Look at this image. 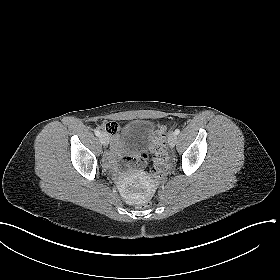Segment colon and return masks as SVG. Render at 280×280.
<instances>
[{
    "label": "colon",
    "instance_id": "1",
    "mask_svg": "<svg viewBox=\"0 0 280 280\" xmlns=\"http://www.w3.org/2000/svg\"><path fill=\"white\" fill-rule=\"evenodd\" d=\"M103 129L109 134H116L118 131V126L115 122H107L103 125ZM164 135V128H159L155 133L152 134V138L156 140H160ZM168 158L165 152L162 149V145L158 147L156 151L154 164L151 169V173L155 176H161L163 172L167 168ZM152 206V201L150 199H146L139 204V207L142 209H147Z\"/></svg>",
    "mask_w": 280,
    "mask_h": 280
}]
</instances>
